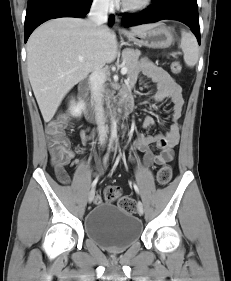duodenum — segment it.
Masks as SVG:
<instances>
[{"label":"duodenum","instance_id":"1","mask_svg":"<svg viewBox=\"0 0 231 281\" xmlns=\"http://www.w3.org/2000/svg\"><path fill=\"white\" fill-rule=\"evenodd\" d=\"M78 96H79V99L88 104V83L87 82H82L80 85H79V88H78ZM131 109V100L129 97L125 98L118 110L120 112L124 111V112H128L129 110ZM87 119L90 121V122H97L98 119H99V116H98V112L95 108H89L88 109V112H87Z\"/></svg>","mask_w":231,"mask_h":281}]
</instances>
